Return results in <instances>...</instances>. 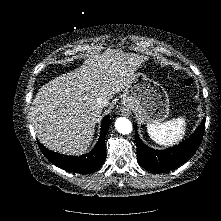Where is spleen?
<instances>
[{
  "label": "spleen",
  "mask_w": 221,
  "mask_h": 221,
  "mask_svg": "<svg viewBox=\"0 0 221 221\" xmlns=\"http://www.w3.org/2000/svg\"><path fill=\"white\" fill-rule=\"evenodd\" d=\"M186 120L184 117L174 118L163 123H151L147 125L150 138L156 143L171 146L179 142L186 132Z\"/></svg>",
  "instance_id": "spleen-1"
}]
</instances>
